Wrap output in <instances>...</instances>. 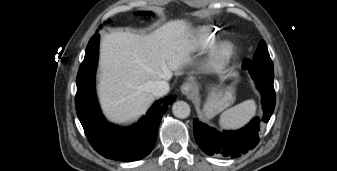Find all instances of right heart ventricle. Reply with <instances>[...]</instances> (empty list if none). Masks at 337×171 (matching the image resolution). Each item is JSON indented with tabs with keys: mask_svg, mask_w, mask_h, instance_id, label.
I'll list each match as a JSON object with an SVG mask.
<instances>
[{
	"mask_svg": "<svg viewBox=\"0 0 337 171\" xmlns=\"http://www.w3.org/2000/svg\"><path fill=\"white\" fill-rule=\"evenodd\" d=\"M199 36L205 48H211L217 43V38L211 27L204 26L199 30Z\"/></svg>",
	"mask_w": 337,
	"mask_h": 171,
	"instance_id": "1",
	"label": "right heart ventricle"
}]
</instances>
